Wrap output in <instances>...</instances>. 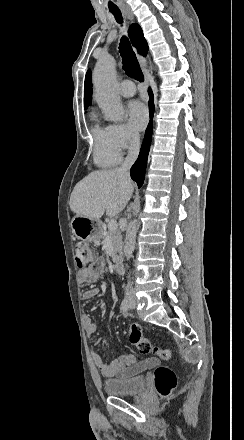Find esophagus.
Masks as SVG:
<instances>
[{"label":"esophagus","instance_id":"esophagus-1","mask_svg":"<svg viewBox=\"0 0 244 440\" xmlns=\"http://www.w3.org/2000/svg\"><path fill=\"white\" fill-rule=\"evenodd\" d=\"M122 10H123V12L125 13L126 17L129 20H131V21L134 20V14H133V12L131 11V9L129 7H122ZM138 58H139V64H140V66H141V68H142V70L144 72L145 84L148 87L150 79H149V74H148L147 68H146V60L142 56H139Z\"/></svg>","mask_w":244,"mask_h":440}]
</instances>
